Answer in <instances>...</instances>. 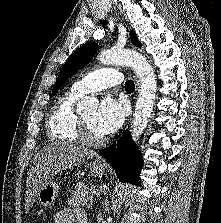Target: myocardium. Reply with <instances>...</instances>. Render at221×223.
Returning <instances> with one entry per match:
<instances>
[{"label":"myocardium","instance_id":"myocardium-1","mask_svg":"<svg viewBox=\"0 0 221 223\" xmlns=\"http://www.w3.org/2000/svg\"><path fill=\"white\" fill-rule=\"evenodd\" d=\"M77 133L79 140L89 146H100L106 142L105 137L92 135L85 119L82 116H79Z\"/></svg>","mask_w":221,"mask_h":223}]
</instances>
